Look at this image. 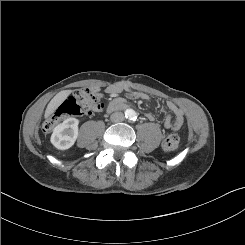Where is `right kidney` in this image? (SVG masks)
Instances as JSON below:
<instances>
[{"instance_id":"1","label":"right kidney","mask_w":245,"mask_h":245,"mask_svg":"<svg viewBox=\"0 0 245 245\" xmlns=\"http://www.w3.org/2000/svg\"><path fill=\"white\" fill-rule=\"evenodd\" d=\"M78 119L68 118L54 128L51 143L60 150L71 148L78 137Z\"/></svg>"}]
</instances>
